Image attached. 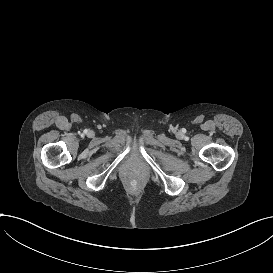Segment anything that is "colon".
I'll use <instances>...</instances> for the list:
<instances>
[{
	"mask_svg": "<svg viewBox=\"0 0 273 273\" xmlns=\"http://www.w3.org/2000/svg\"><path fill=\"white\" fill-rule=\"evenodd\" d=\"M141 189V183L136 179H131L128 182V190L131 193H138Z\"/></svg>",
	"mask_w": 273,
	"mask_h": 273,
	"instance_id": "1",
	"label": "colon"
}]
</instances>
